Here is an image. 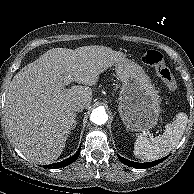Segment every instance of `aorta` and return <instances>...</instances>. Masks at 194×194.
Instances as JSON below:
<instances>
[{"label":"aorta","instance_id":"1","mask_svg":"<svg viewBox=\"0 0 194 194\" xmlns=\"http://www.w3.org/2000/svg\"><path fill=\"white\" fill-rule=\"evenodd\" d=\"M90 119L93 123L97 125H102L107 122L108 115L104 108L98 107L92 111Z\"/></svg>","mask_w":194,"mask_h":194}]
</instances>
